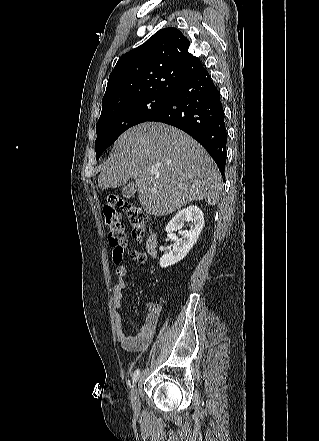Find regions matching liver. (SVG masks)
Listing matches in <instances>:
<instances>
[{
	"mask_svg": "<svg viewBox=\"0 0 319 441\" xmlns=\"http://www.w3.org/2000/svg\"><path fill=\"white\" fill-rule=\"evenodd\" d=\"M131 178L142 207L154 216L191 201L215 205L222 191L221 174L205 149L183 131L158 122L136 125L117 139L98 186L117 188Z\"/></svg>",
	"mask_w": 319,
	"mask_h": 441,
	"instance_id": "obj_1",
	"label": "liver"
}]
</instances>
